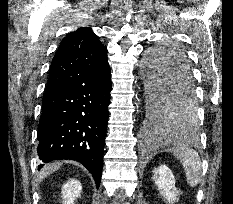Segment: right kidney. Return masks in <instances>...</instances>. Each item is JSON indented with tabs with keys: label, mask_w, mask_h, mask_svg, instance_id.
<instances>
[{
	"label": "right kidney",
	"mask_w": 233,
	"mask_h": 204,
	"mask_svg": "<svg viewBox=\"0 0 233 204\" xmlns=\"http://www.w3.org/2000/svg\"><path fill=\"white\" fill-rule=\"evenodd\" d=\"M82 191L81 183L75 179L69 180L62 187L63 204H74Z\"/></svg>",
	"instance_id": "obj_1"
}]
</instances>
